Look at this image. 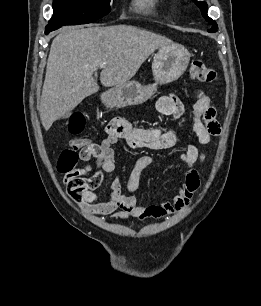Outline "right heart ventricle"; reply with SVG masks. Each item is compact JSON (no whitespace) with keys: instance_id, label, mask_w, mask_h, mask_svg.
Segmentation results:
<instances>
[{"instance_id":"e07e8e85","label":"right heart ventricle","mask_w":261,"mask_h":306,"mask_svg":"<svg viewBox=\"0 0 261 306\" xmlns=\"http://www.w3.org/2000/svg\"><path fill=\"white\" fill-rule=\"evenodd\" d=\"M159 0H132L133 7L138 11L148 12L154 9Z\"/></svg>"}]
</instances>
